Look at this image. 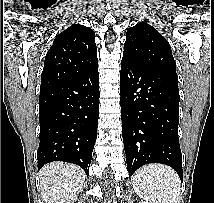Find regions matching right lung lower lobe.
I'll list each match as a JSON object with an SVG mask.
<instances>
[{"instance_id":"right-lung-lower-lobe-1","label":"right lung lower lobe","mask_w":214,"mask_h":203,"mask_svg":"<svg viewBox=\"0 0 214 203\" xmlns=\"http://www.w3.org/2000/svg\"><path fill=\"white\" fill-rule=\"evenodd\" d=\"M99 73L94 69L40 91L38 170L53 161L79 165L89 174L97 138Z\"/></svg>"}]
</instances>
